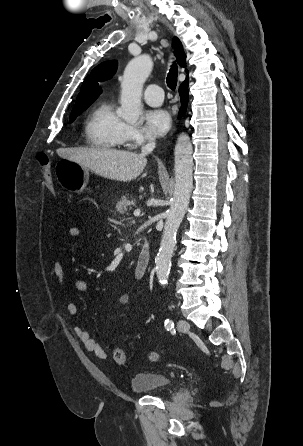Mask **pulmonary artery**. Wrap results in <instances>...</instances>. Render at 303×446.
Masks as SVG:
<instances>
[{
  "instance_id": "obj_1",
  "label": "pulmonary artery",
  "mask_w": 303,
  "mask_h": 446,
  "mask_svg": "<svg viewBox=\"0 0 303 446\" xmlns=\"http://www.w3.org/2000/svg\"><path fill=\"white\" fill-rule=\"evenodd\" d=\"M164 93L160 86L150 84L144 91V100L151 106H159L163 102Z\"/></svg>"
}]
</instances>
